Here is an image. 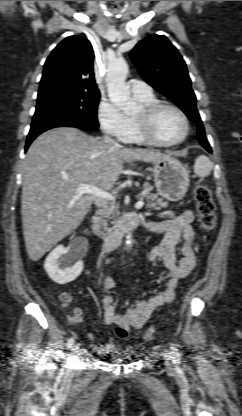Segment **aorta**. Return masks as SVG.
<instances>
[{
	"instance_id": "obj_1",
	"label": "aorta",
	"mask_w": 242,
	"mask_h": 416,
	"mask_svg": "<svg viewBox=\"0 0 242 416\" xmlns=\"http://www.w3.org/2000/svg\"><path fill=\"white\" fill-rule=\"evenodd\" d=\"M128 74V64L123 58L110 61L107 68L106 83L110 101L120 108L125 114L136 112L137 105L130 96L129 87L125 80ZM133 245L131 235L126 237V246L130 249Z\"/></svg>"
}]
</instances>
